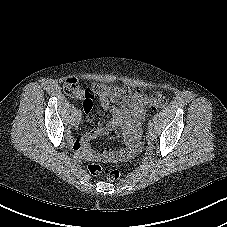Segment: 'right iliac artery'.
I'll return each mask as SVG.
<instances>
[{
	"instance_id": "1",
	"label": "right iliac artery",
	"mask_w": 227,
	"mask_h": 227,
	"mask_svg": "<svg viewBox=\"0 0 227 227\" xmlns=\"http://www.w3.org/2000/svg\"><path fill=\"white\" fill-rule=\"evenodd\" d=\"M75 114H77L81 117V111L80 110H77Z\"/></svg>"
}]
</instances>
